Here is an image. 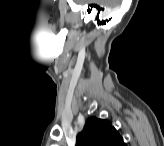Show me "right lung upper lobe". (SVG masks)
Wrapping results in <instances>:
<instances>
[{
  "label": "right lung upper lobe",
  "mask_w": 164,
  "mask_h": 146,
  "mask_svg": "<svg viewBox=\"0 0 164 146\" xmlns=\"http://www.w3.org/2000/svg\"><path fill=\"white\" fill-rule=\"evenodd\" d=\"M76 146H125L123 138L107 121L91 117L77 135Z\"/></svg>",
  "instance_id": "right-lung-upper-lobe-1"
}]
</instances>
